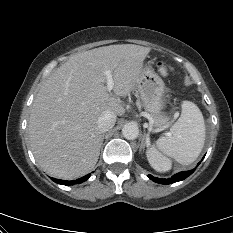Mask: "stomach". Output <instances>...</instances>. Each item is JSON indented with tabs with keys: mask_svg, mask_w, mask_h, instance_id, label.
<instances>
[{
	"mask_svg": "<svg viewBox=\"0 0 233 233\" xmlns=\"http://www.w3.org/2000/svg\"><path fill=\"white\" fill-rule=\"evenodd\" d=\"M137 88L145 110L152 117H159L165 107V84L162 78L148 65L142 69Z\"/></svg>",
	"mask_w": 233,
	"mask_h": 233,
	"instance_id": "stomach-1",
	"label": "stomach"
}]
</instances>
